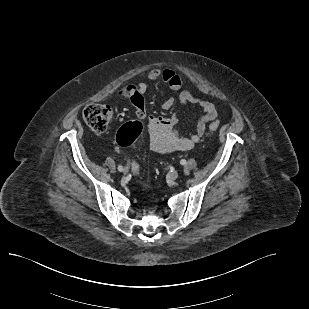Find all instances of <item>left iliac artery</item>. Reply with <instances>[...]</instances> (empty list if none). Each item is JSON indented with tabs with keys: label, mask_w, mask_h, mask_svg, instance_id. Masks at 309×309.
Wrapping results in <instances>:
<instances>
[{
	"label": "left iliac artery",
	"mask_w": 309,
	"mask_h": 309,
	"mask_svg": "<svg viewBox=\"0 0 309 309\" xmlns=\"http://www.w3.org/2000/svg\"><path fill=\"white\" fill-rule=\"evenodd\" d=\"M180 164H181V165H185V164H186V160H185V159H182V160L180 161Z\"/></svg>",
	"instance_id": "44dca946"
}]
</instances>
